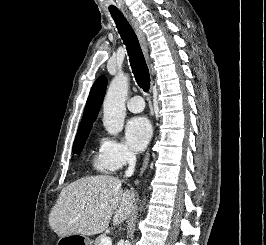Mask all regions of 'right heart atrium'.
<instances>
[{"instance_id":"obj_1","label":"right heart atrium","mask_w":266,"mask_h":245,"mask_svg":"<svg viewBox=\"0 0 266 245\" xmlns=\"http://www.w3.org/2000/svg\"><path fill=\"white\" fill-rule=\"evenodd\" d=\"M99 155L110 171L119 170L134 158L132 151L124 142L110 135L100 136Z\"/></svg>"}]
</instances>
